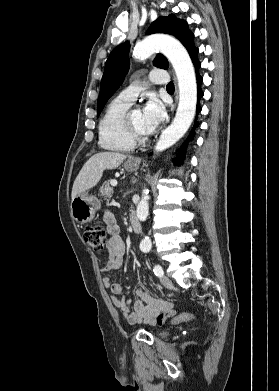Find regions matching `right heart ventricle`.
<instances>
[{
  "mask_svg": "<svg viewBox=\"0 0 279 391\" xmlns=\"http://www.w3.org/2000/svg\"><path fill=\"white\" fill-rule=\"evenodd\" d=\"M131 104L132 102L118 96L106 107L99 122V144L103 149L124 152L135 147L124 125V115Z\"/></svg>",
  "mask_w": 279,
  "mask_h": 391,
  "instance_id": "obj_1",
  "label": "right heart ventricle"
}]
</instances>
